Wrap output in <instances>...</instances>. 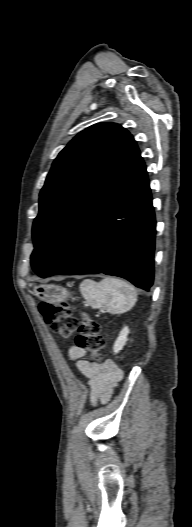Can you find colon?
I'll list each match as a JSON object with an SVG mask.
<instances>
[{"instance_id": "5ec220e1", "label": "colon", "mask_w": 192, "mask_h": 527, "mask_svg": "<svg viewBox=\"0 0 192 527\" xmlns=\"http://www.w3.org/2000/svg\"><path fill=\"white\" fill-rule=\"evenodd\" d=\"M39 311L50 329L62 339H69L76 329V345L87 353L96 362L102 360L101 351L105 342L100 333L99 323L88 314L82 313L78 322L73 315L72 307L65 302H44L39 306Z\"/></svg>"}]
</instances>
